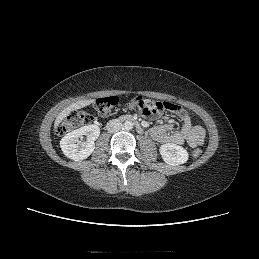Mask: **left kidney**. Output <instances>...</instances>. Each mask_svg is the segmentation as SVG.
<instances>
[{"mask_svg": "<svg viewBox=\"0 0 259 259\" xmlns=\"http://www.w3.org/2000/svg\"><path fill=\"white\" fill-rule=\"evenodd\" d=\"M159 151L163 160L172 166L186 163L189 156L185 148L173 143L161 145Z\"/></svg>", "mask_w": 259, "mask_h": 259, "instance_id": "5707ae66", "label": "left kidney"}]
</instances>
